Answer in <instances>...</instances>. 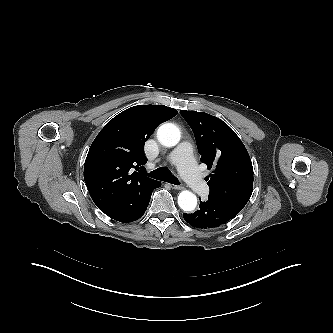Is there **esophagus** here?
<instances>
[{"label":"esophagus","mask_w":333,"mask_h":333,"mask_svg":"<svg viewBox=\"0 0 333 333\" xmlns=\"http://www.w3.org/2000/svg\"><path fill=\"white\" fill-rule=\"evenodd\" d=\"M172 189L181 190L183 187L180 185L169 184Z\"/></svg>","instance_id":"esophagus-1"}]
</instances>
